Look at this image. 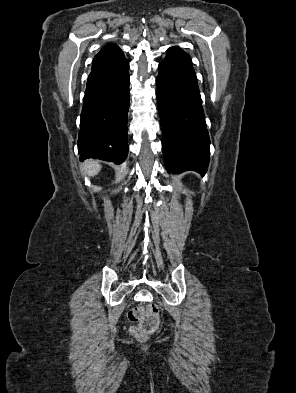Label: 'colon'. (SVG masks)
Returning a JSON list of instances; mask_svg holds the SVG:
<instances>
[{
    "instance_id": "obj_1",
    "label": "colon",
    "mask_w": 296,
    "mask_h": 393,
    "mask_svg": "<svg viewBox=\"0 0 296 393\" xmlns=\"http://www.w3.org/2000/svg\"><path fill=\"white\" fill-rule=\"evenodd\" d=\"M128 317L138 323L130 328V332L139 339L148 338L159 327V309L154 304L137 306L129 311Z\"/></svg>"
}]
</instances>
